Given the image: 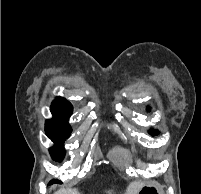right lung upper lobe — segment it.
I'll list each match as a JSON object with an SVG mask.
<instances>
[{"instance_id": "cb5924a9", "label": "right lung upper lobe", "mask_w": 201, "mask_h": 194, "mask_svg": "<svg viewBox=\"0 0 201 194\" xmlns=\"http://www.w3.org/2000/svg\"><path fill=\"white\" fill-rule=\"evenodd\" d=\"M51 110L59 111L70 117V115L72 114L73 106L65 98L57 97L51 104Z\"/></svg>"}]
</instances>
